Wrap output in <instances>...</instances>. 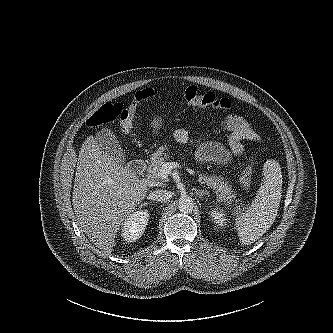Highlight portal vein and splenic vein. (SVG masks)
<instances>
[{"instance_id":"portal-vein-and-splenic-vein-1","label":"portal vein and splenic vein","mask_w":333,"mask_h":333,"mask_svg":"<svg viewBox=\"0 0 333 333\" xmlns=\"http://www.w3.org/2000/svg\"><path fill=\"white\" fill-rule=\"evenodd\" d=\"M178 164L175 162H165L160 170V176L163 178H167L168 174L172 172L173 169L177 168Z\"/></svg>"}]
</instances>
